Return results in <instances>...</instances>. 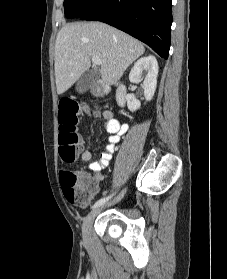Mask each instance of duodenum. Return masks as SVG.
<instances>
[{
  "mask_svg": "<svg viewBox=\"0 0 227 279\" xmlns=\"http://www.w3.org/2000/svg\"><path fill=\"white\" fill-rule=\"evenodd\" d=\"M94 93L96 96H105L109 93V88L103 84H100L95 87ZM126 93L127 90L124 84L117 83L115 85V96L121 106H124L126 103Z\"/></svg>",
  "mask_w": 227,
  "mask_h": 279,
  "instance_id": "obj_1",
  "label": "duodenum"
}]
</instances>
